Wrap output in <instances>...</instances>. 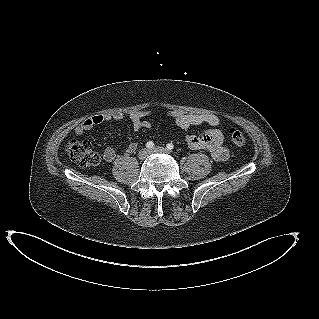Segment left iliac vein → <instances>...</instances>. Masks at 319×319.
Segmentation results:
<instances>
[{
    "label": "left iliac vein",
    "mask_w": 319,
    "mask_h": 319,
    "mask_svg": "<svg viewBox=\"0 0 319 319\" xmlns=\"http://www.w3.org/2000/svg\"><path fill=\"white\" fill-rule=\"evenodd\" d=\"M150 153H168V150L163 147H155L150 150Z\"/></svg>",
    "instance_id": "1"
}]
</instances>
